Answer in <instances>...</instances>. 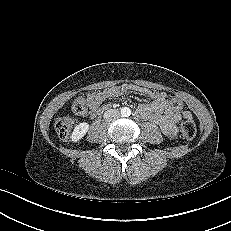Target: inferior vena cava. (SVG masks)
I'll use <instances>...</instances> for the list:
<instances>
[{
    "label": "inferior vena cava",
    "instance_id": "inferior-vena-cava-1",
    "mask_svg": "<svg viewBox=\"0 0 231 231\" xmlns=\"http://www.w3.org/2000/svg\"><path fill=\"white\" fill-rule=\"evenodd\" d=\"M120 117V112L117 109H109L104 112V118L107 121H112Z\"/></svg>",
    "mask_w": 231,
    "mask_h": 231
}]
</instances>
